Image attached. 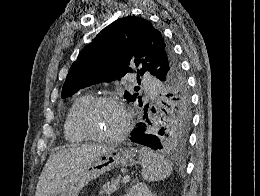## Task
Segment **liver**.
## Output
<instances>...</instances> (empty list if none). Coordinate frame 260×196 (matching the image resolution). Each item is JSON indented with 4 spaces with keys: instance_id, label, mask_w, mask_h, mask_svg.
Wrapping results in <instances>:
<instances>
[{
    "instance_id": "1",
    "label": "liver",
    "mask_w": 260,
    "mask_h": 196,
    "mask_svg": "<svg viewBox=\"0 0 260 196\" xmlns=\"http://www.w3.org/2000/svg\"><path fill=\"white\" fill-rule=\"evenodd\" d=\"M106 148L96 144H81L50 156L41 172L35 196H57L64 192L74 178L90 166L94 158L104 154Z\"/></svg>"
}]
</instances>
